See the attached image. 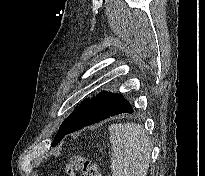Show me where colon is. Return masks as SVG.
Masks as SVG:
<instances>
[{"instance_id": "obj_1", "label": "colon", "mask_w": 205, "mask_h": 176, "mask_svg": "<svg viewBox=\"0 0 205 176\" xmlns=\"http://www.w3.org/2000/svg\"><path fill=\"white\" fill-rule=\"evenodd\" d=\"M74 171H79L81 176H103L97 164L82 155L76 156L67 165L66 176H72Z\"/></svg>"}]
</instances>
